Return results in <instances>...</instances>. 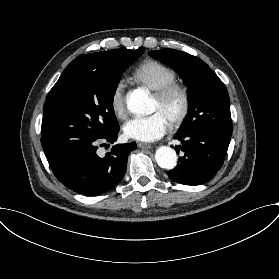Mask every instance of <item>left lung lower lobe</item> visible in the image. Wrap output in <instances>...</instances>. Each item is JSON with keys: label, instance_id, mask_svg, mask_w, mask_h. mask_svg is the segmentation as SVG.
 <instances>
[{"label": "left lung lower lobe", "instance_id": "obj_1", "mask_svg": "<svg viewBox=\"0 0 279 279\" xmlns=\"http://www.w3.org/2000/svg\"><path fill=\"white\" fill-rule=\"evenodd\" d=\"M231 132L199 128L179 133L175 138L182 146L176 151L184 152L178 165L167 172L168 177L184 185H200L209 181L222 167L231 139Z\"/></svg>", "mask_w": 279, "mask_h": 279}]
</instances>
